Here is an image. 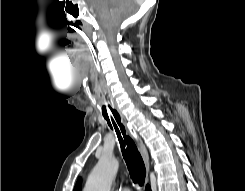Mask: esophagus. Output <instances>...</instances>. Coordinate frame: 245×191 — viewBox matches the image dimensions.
Segmentation results:
<instances>
[{
  "mask_svg": "<svg viewBox=\"0 0 245 191\" xmlns=\"http://www.w3.org/2000/svg\"><path fill=\"white\" fill-rule=\"evenodd\" d=\"M118 113H119V115L121 117V121L123 122V124L125 125L127 130L130 132V134L133 136V138L138 143V146H139L140 152L142 154L143 160L145 162L146 170H147V173H148L150 166H149V155H148L147 149H146L141 137L138 135V132L133 127V125L125 118V116L120 111H118ZM146 182L147 183L149 182L148 176L146 178Z\"/></svg>",
  "mask_w": 245,
  "mask_h": 191,
  "instance_id": "1",
  "label": "esophagus"
}]
</instances>
